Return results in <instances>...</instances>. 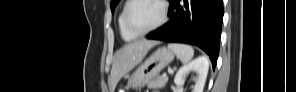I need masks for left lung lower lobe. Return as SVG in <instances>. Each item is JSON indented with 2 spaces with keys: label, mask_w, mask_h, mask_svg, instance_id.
Here are the masks:
<instances>
[{
  "label": "left lung lower lobe",
  "mask_w": 296,
  "mask_h": 92,
  "mask_svg": "<svg viewBox=\"0 0 296 92\" xmlns=\"http://www.w3.org/2000/svg\"><path fill=\"white\" fill-rule=\"evenodd\" d=\"M170 21L147 39L187 43L200 47L215 68L219 54L223 0H169Z\"/></svg>",
  "instance_id": "left-lung-lower-lobe-1"
}]
</instances>
